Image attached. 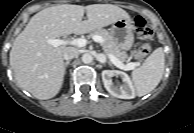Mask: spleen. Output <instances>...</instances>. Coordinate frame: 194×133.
Returning <instances> with one entry per match:
<instances>
[{
  "label": "spleen",
  "mask_w": 194,
  "mask_h": 133,
  "mask_svg": "<svg viewBox=\"0 0 194 133\" xmlns=\"http://www.w3.org/2000/svg\"><path fill=\"white\" fill-rule=\"evenodd\" d=\"M165 68V55L161 47L154 50L144 63L134 69L131 77L136 94L141 97L154 90L160 83Z\"/></svg>",
  "instance_id": "1"
}]
</instances>
